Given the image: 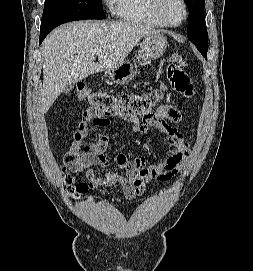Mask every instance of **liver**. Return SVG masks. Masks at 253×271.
Returning a JSON list of instances; mask_svg holds the SVG:
<instances>
[{
	"label": "liver",
	"instance_id": "liver-1",
	"mask_svg": "<svg viewBox=\"0 0 253 271\" xmlns=\"http://www.w3.org/2000/svg\"><path fill=\"white\" fill-rule=\"evenodd\" d=\"M155 32L159 31L128 21H76L54 29L41 49L42 113L49 110L66 86L118 66L143 37Z\"/></svg>",
	"mask_w": 253,
	"mask_h": 271
}]
</instances>
